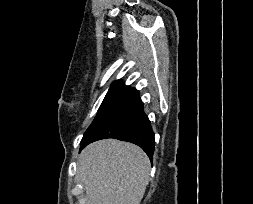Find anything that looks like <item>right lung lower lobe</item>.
Returning a JSON list of instances; mask_svg holds the SVG:
<instances>
[{"label":"right lung lower lobe","mask_w":253,"mask_h":204,"mask_svg":"<svg viewBox=\"0 0 253 204\" xmlns=\"http://www.w3.org/2000/svg\"><path fill=\"white\" fill-rule=\"evenodd\" d=\"M115 138L140 146L152 161L155 146L151 123L143 111V103L136 91L119 105L84 142L80 151L89 143Z\"/></svg>","instance_id":"right-lung-lower-lobe-1"}]
</instances>
